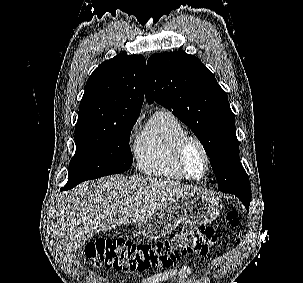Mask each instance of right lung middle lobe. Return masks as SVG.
Returning a JSON list of instances; mask_svg holds the SVG:
<instances>
[{"mask_svg": "<svg viewBox=\"0 0 303 283\" xmlns=\"http://www.w3.org/2000/svg\"><path fill=\"white\" fill-rule=\"evenodd\" d=\"M136 121L103 126L76 124V153L69 164L66 187L128 170L133 162L129 138Z\"/></svg>", "mask_w": 303, "mask_h": 283, "instance_id": "1", "label": "right lung middle lobe"}]
</instances>
